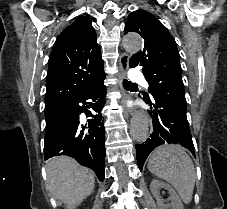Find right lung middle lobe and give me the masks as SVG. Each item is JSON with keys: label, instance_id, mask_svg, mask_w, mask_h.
Masks as SVG:
<instances>
[{"label": "right lung middle lobe", "instance_id": "1", "mask_svg": "<svg viewBox=\"0 0 227 209\" xmlns=\"http://www.w3.org/2000/svg\"><path fill=\"white\" fill-rule=\"evenodd\" d=\"M60 106H53L49 108H45V119L46 122L49 121L59 110Z\"/></svg>", "mask_w": 227, "mask_h": 209}]
</instances>
